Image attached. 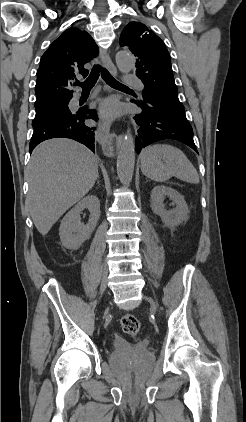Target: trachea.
Segmentation results:
<instances>
[{
	"label": "trachea",
	"instance_id": "trachea-1",
	"mask_svg": "<svg viewBox=\"0 0 246 422\" xmlns=\"http://www.w3.org/2000/svg\"><path fill=\"white\" fill-rule=\"evenodd\" d=\"M100 73L105 82L111 87H126L125 85L121 84L116 79H114L113 76L100 65L93 66L90 75L84 82L80 83L79 81H77L74 83V85L81 86L83 90H89L96 84Z\"/></svg>",
	"mask_w": 246,
	"mask_h": 422
}]
</instances>
